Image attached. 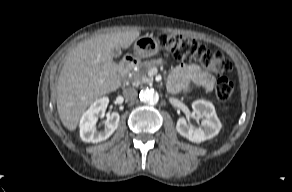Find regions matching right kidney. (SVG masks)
Returning a JSON list of instances; mask_svg holds the SVG:
<instances>
[{
	"mask_svg": "<svg viewBox=\"0 0 292 192\" xmlns=\"http://www.w3.org/2000/svg\"><path fill=\"white\" fill-rule=\"evenodd\" d=\"M109 99L102 97L94 101L89 109L82 115L80 120V137L84 142L98 143L109 138L117 129L120 115L112 112L106 122L104 129L98 131L95 127L99 117L105 115Z\"/></svg>",
	"mask_w": 292,
	"mask_h": 192,
	"instance_id": "1",
	"label": "right kidney"
}]
</instances>
